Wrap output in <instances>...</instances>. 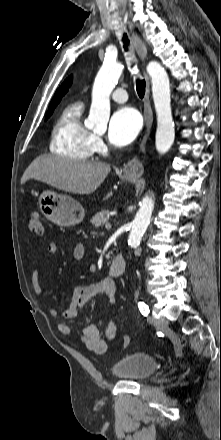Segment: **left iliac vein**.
Here are the masks:
<instances>
[{
	"mask_svg": "<svg viewBox=\"0 0 221 440\" xmlns=\"http://www.w3.org/2000/svg\"><path fill=\"white\" fill-rule=\"evenodd\" d=\"M148 320L150 323H153L155 326H157L160 329H163L167 326V320L164 317H148Z\"/></svg>",
	"mask_w": 221,
	"mask_h": 440,
	"instance_id": "obj_1",
	"label": "left iliac vein"
}]
</instances>
